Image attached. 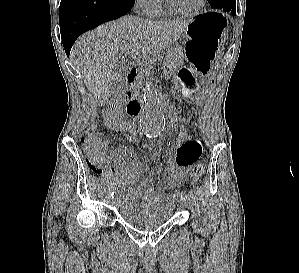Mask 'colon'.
<instances>
[{"mask_svg": "<svg viewBox=\"0 0 299 273\" xmlns=\"http://www.w3.org/2000/svg\"><path fill=\"white\" fill-rule=\"evenodd\" d=\"M188 137H190L189 126L187 123H181L178 125L177 130L173 135L172 143L174 145L180 144L184 142ZM81 140L83 143L88 166L95 174L100 175L102 173V155L105 150L114 149V144L103 141L94 134H87L83 136ZM131 142L137 145L140 144L138 136ZM204 170L205 168L202 163H196L191 170V183L197 182L203 175Z\"/></svg>", "mask_w": 299, "mask_h": 273, "instance_id": "1", "label": "colon"}]
</instances>
